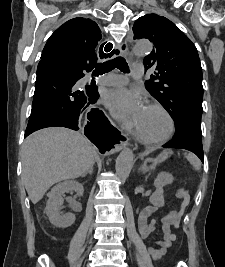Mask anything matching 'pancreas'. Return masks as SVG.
Masks as SVG:
<instances>
[{"label": "pancreas", "mask_w": 225, "mask_h": 267, "mask_svg": "<svg viewBox=\"0 0 225 267\" xmlns=\"http://www.w3.org/2000/svg\"><path fill=\"white\" fill-rule=\"evenodd\" d=\"M156 163H157V162H154V163H153V165L151 166V169H155Z\"/></svg>", "instance_id": "cf45deb5"}]
</instances>
